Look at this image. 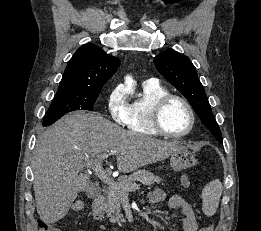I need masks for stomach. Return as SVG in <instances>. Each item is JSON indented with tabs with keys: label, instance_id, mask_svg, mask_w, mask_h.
I'll use <instances>...</instances> for the list:
<instances>
[{
	"label": "stomach",
	"instance_id": "stomach-1",
	"mask_svg": "<svg viewBox=\"0 0 261 231\" xmlns=\"http://www.w3.org/2000/svg\"><path fill=\"white\" fill-rule=\"evenodd\" d=\"M195 155L187 148L180 149L171 154L170 165L175 171L185 170L197 164Z\"/></svg>",
	"mask_w": 261,
	"mask_h": 231
}]
</instances>
